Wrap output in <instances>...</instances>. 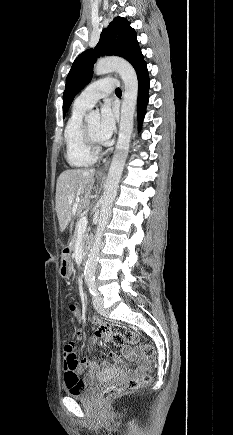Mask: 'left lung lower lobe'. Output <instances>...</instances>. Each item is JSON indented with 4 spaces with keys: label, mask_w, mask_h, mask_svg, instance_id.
<instances>
[{
    "label": "left lung lower lobe",
    "mask_w": 233,
    "mask_h": 435,
    "mask_svg": "<svg viewBox=\"0 0 233 435\" xmlns=\"http://www.w3.org/2000/svg\"><path fill=\"white\" fill-rule=\"evenodd\" d=\"M138 78V99H137V112H138V128H141L144 115L146 113V106L148 104L149 96L148 90L150 80L148 77L147 65L142 66L136 71Z\"/></svg>",
    "instance_id": "obj_1"
}]
</instances>
